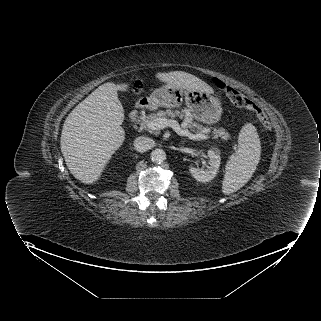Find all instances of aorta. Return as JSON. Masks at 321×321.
Masks as SVG:
<instances>
[{"instance_id":"obj_1","label":"aorta","mask_w":321,"mask_h":321,"mask_svg":"<svg viewBox=\"0 0 321 321\" xmlns=\"http://www.w3.org/2000/svg\"><path fill=\"white\" fill-rule=\"evenodd\" d=\"M151 160L154 163L161 164L166 160V153L163 149H155L151 152Z\"/></svg>"}]
</instances>
